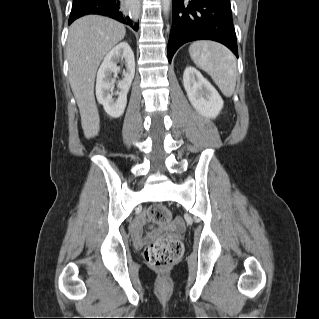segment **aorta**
Wrapping results in <instances>:
<instances>
[{"label":"aorta","mask_w":319,"mask_h":319,"mask_svg":"<svg viewBox=\"0 0 319 319\" xmlns=\"http://www.w3.org/2000/svg\"><path fill=\"white\" fill-rule=\"evenodd\" d=\"M171 1L172 0H161L162 2V7H163V12L165 15H168L171 7Z\"/></svg>","instance_id":"obj_1"}]
</instances>
